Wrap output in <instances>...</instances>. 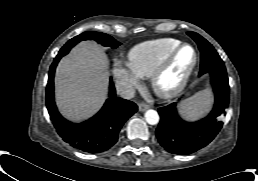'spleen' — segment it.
Returning <instances> with one entry per match:
<instances>
[{
    "mask_svg": "<svg viewBox=\"0 0 258 181\" xmlns=\"http://www.w3.org/2000/svg\"><path fill=\"white\" fill-rule=\"evenodd\" d=\"M210 89L197 92L179 105V113L186 120H195L204 115L211 107Z\"/></svg>",
    "mask_w": 258,
    "mask_h": 181,
    "instance_id": "1",
    "label": "spleen"
}]
</instances>
